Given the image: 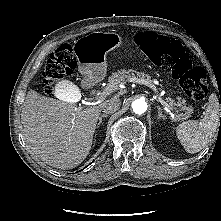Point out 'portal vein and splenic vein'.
<instances>
[{
  "label": "portal vein and splenic vein",
  "instance_id": "18ae733b",
  "mask_svg": "<svg viewBox=\"0 0 221 221\" xmlns=\"http://www.w3.org/2000/svg\"><path fill=\"white\" fill-rule=\"evenodd\" d=\"M130 82H134V83H139V84H145L148 85L150 88H152L153 90H155V87L152 84L146 83L140 79L137 78H133L131 79ZM116 88L112 85H109L108 87H106L102 92L98 93L97 96L95 97L93 102H88L89 105H94V104H98L100 103L107 95H109L113 90H115ZM159 102L161 103V105H163L164 107L172 110V111H176L177 109L169 104H167L164 100H162L161 98H159Z\"/></svg>",
  "mask_w": 221,
  "mask_h": 221
}]
</instances>
